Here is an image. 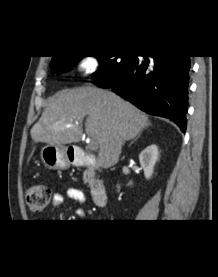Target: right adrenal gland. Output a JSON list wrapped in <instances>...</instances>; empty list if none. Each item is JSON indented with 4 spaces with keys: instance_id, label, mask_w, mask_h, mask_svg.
Wrapping results in <instances>:
<instances>
[{
    "instance_id": "obj_1",
    "label": "right adrenal gland",
    "mask_w": 218,
    "mask_h": 277,
    "mask_svg": "<svg viewBox=\"0 0 218 277\" xmlns=\"http://www.w3.org/2000/svg\"><path fill=\"white\" fill-rule=\"evenodd\" d=\"M139 136H140V134H138V136L130 143V145L133 144Z\"/></svg>"
}]
</instances>
